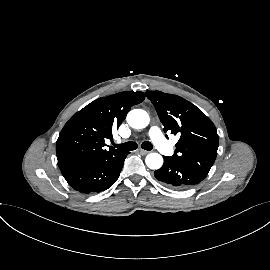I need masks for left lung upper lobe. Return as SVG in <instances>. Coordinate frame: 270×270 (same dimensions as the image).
Returning <instances> with one entry per match:
<instances>
[{"mask_svg":"<svg viewBox=\"0 0 270 270\" xmlns=\"http://www.w3.org/2000/svg\"><path fill=\"white\" fill-rule=\"evenodd\" d=\"M146 96L154 105L165 133L180 135L172 157L208 173L219 145L212 121L195 105L177 95L147 91Z\"/></svg>","mask_w":270,"mask_h":270,"instance_id":"5c2ea615","label":"left lung upper lobe"}]
</instances>
